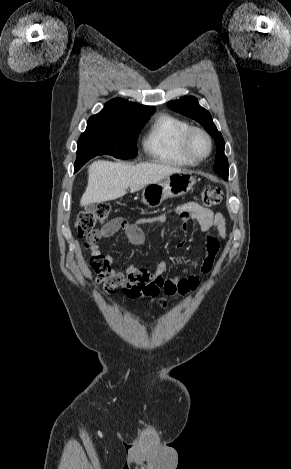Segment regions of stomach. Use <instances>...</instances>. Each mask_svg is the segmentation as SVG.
<instances>
[{
    "mask_svg": "<svg viewBox=\"0 0 291 469\" xmlns=\"http://www.w3.org/2000/svg\"><path fill=\"white\" fill-rule=\"evenodd\" d=\"M195 184L190 172L181 171L162 182L147 185L142 192V202L148 207H158L167 198L185 195Z\"/></svg>",
    "mask_w": 291,
    "mask_h": 469,
    "instance_id": "0dacf381",
    "label": "stomach"
}]
</instances>
